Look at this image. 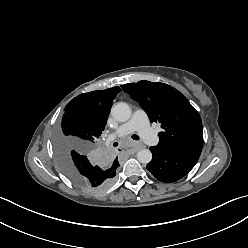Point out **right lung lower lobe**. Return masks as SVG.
<instances>
[{
	"label": "right lung lower lobe",
	"instance_id": "obj_1",
	"mask_svg": "<svg viewBox=\"0 0 248 248\" xmlns=\"http://www.w3.org/2000/svg\"><path fill=\"white\" fill-rule=\"evenodd\" d=\"M71 157H72L73 163L77 166L84 164L86 161H88V159L84 155H81L80 153L75 152V151L71 154Z\"/></svg>",
	"mask_w": 248,
	"mask_h": 248
}]
</instances>
